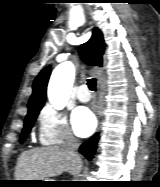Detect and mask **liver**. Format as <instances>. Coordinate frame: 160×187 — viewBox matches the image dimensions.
I'll use <instances>...</instances> for the list:
<instances>
[{
    "label": "liver",
    "mask_w": 160,
    "mask_h": 187,
    "mask_svg": "<svg viewBox=\"0 0 160 187\" xmlns=\"http://www.w3.org/2000/svg\"><path fill=\"white\" fill-rule=\"evenodd\" d=\"M82 169V161L78 162L68 151L59 146L42 147L23 152L18 158L16 180H44L68 172L77 175Z\"/></svg>",
    "instance_id": "1"
}]
</instances>
